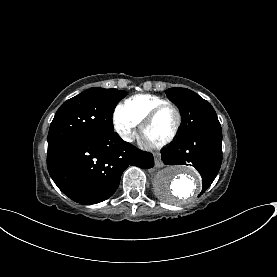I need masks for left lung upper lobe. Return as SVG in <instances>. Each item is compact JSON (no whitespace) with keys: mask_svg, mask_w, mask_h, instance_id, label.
<instances>
[{"mask_svg":"<svg viewBox=\"0 0 277 277\" xmlns=\"http://www.w3.org/2000/svg\"><path fill=\"white\" fill-rule=\"evenodd\" d=\"M166 94L177 105L182 116L179 137L207 129H221L213 107L195 92L173 87L167 89Z\"/></svg>","mask_w":277,"mask_h":277,"instance_id":"5c2ea615","label":"left lung upper lobe"}]
</instances>
